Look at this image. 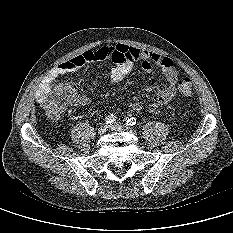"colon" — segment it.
Segmentation results:
<instances>
[{
  "instance_id": "colon-1",
  "label": "colon",
  "mask_w": 233,
  "mask_h": 233,
  "mask_svg": "<svg viewBox=\"0 0 233 233\" xmlns=\"http://www.w3.org/2000/svg\"><path fill=\"white\" fill-rule=\"evenodd\" d=\"M180 92L189 96L193 92L191 79L187 76L181 78L178 83ZM78 95V86L74 82H67L58 85L47 98L45 105L52 116H58L66 106L73 102Z\"/></svg>"
}]
</instances>
